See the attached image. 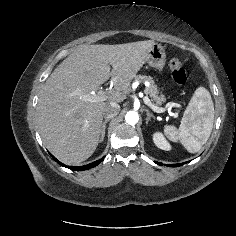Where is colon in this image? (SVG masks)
I'll return each instance as SVG.
<instances>
[{
	"label": "colon",
	"instance_id": "colon-1",
	"mask_svg": "<svg viewBox=\"0 0 236 236\" xmlns=\"http://www.w3.org/2000/svg\"><path fill=\"white\" fill-rule=\"evenodd\" d=\"M169 68L171 70L172 78L177 84L186 83L188 79V72L179 58L172 57L169 60Z\"/></svg>",
	"mask_w": 236,
	"mask_h": 236
}]
</instances>
